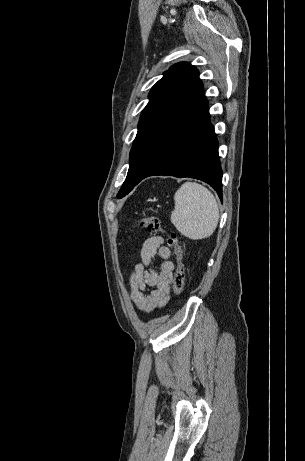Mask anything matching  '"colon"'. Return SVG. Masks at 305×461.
<instances>
[{
    "mask_svg": "<svg viewBox=\"0 0 305 461\" xmlns=\"http://www.w3.org/2000/svg\"><path fill=\"white\" fill-rule=\"evenodd\" d=\"M136 226L145 228L152 235L164 234L169 246L174 249L177 267L175 271L173 290L175 294H181L185 287V270L182 263L183 250L175 233L163 229L160 220L156 217H144L136 222Z\"/></svg>",
    "mask_w": 305,
    "mask_h": 461,
    "instance_id": "1",
    "label": "colon"
}]
</instances>
